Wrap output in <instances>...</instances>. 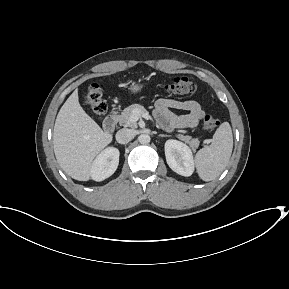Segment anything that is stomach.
<instances>
[{
    "label": "stomach",
    "mask_w": 289,
    "mask_h": 289,
    "mask_svg": "<svg viewBox=\"0 0 289 289\" xmlns=\"http://www.w3.org/2000/svg\"><path fill=\"white\" fill-rule=\"evenodd\" d=\"M142 88L143 84H141L140 82H132V84L129 86V91L131 93H138L142 90Z\"/></svg>",
    "instance_id": "0dacf381"
}]
</instances>
